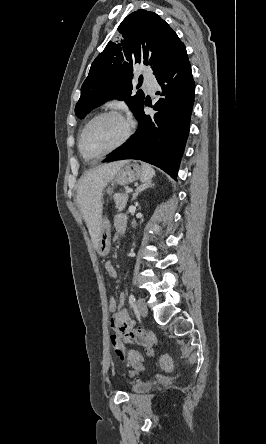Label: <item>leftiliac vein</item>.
Returning a JSON list of instances; mask_svg holds the SVG:
<instances>
[{"label": "left iliac vein", "mask_w": 266, "mask_h": 444, "mask_svg": "<svg viewBox=\"0 0 266 444\" xmlns=\"http://www.w3.org/2000/svg\"><path fill=\"white\" fill-rule=\"evenodd\" d=\"M137 311L139 315L145 317L148 313L146 302L143 298H138L137 300Z\"/></svg>", "instance_id": "1"}]
</instances>
